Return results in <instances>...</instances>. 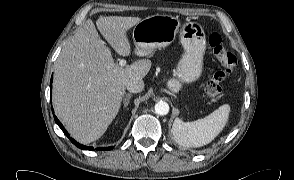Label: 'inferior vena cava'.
<instances>
[{"instance_id":"1","label":"inferior vena cava","mask_w":294,"mask_h":180,"mask_svg":"<svg viewBox=\"0 0 294 180\" xmlns=\"http://www.w3.org/2000/svg\"><path fill=\"white\" fill-rule=\"evenodd\" d=\"M126 88L131 93H139L144 89V82L141 79H132L127 82Z\"/></svg>"}]
</instances>
